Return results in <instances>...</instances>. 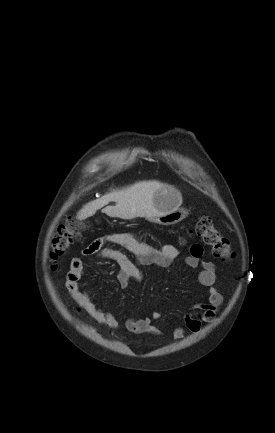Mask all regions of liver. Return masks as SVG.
Wrapping results in <instances>:
<instances>
[{
	"label": "liver",
	"mask_w": 275,
	"mask_h": 433,
	"mask_svg": "<svg viewBox=\"0 0 275 433\" xmlns=\"http://www.w3.org/2000/svg\"><path fill=\"white\" fill-rule=\"evenodd\" d=\"M164 184L158 181H141L120 190H113L101 198L86 204L78 213L77 218L84 220L93 216L97 210L116 202L115 206H106L102 212L110 217L133 219L146 217L151 219L158 215L153 203L154 193Z\"/></svg>",
	"instance_id": "obj_1"
}]
</instances>
